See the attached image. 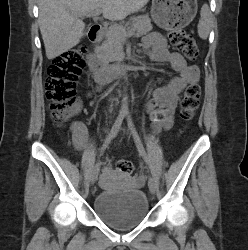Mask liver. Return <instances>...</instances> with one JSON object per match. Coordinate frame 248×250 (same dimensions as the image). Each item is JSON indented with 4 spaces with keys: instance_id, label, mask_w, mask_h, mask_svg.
I'll return each instance as SVG.
<instances>
[{
    "instance_id": "liver-1",
    "label": "liver",
    "mask_w": 248,
    "mask_h": 250,
    "mask_svg": "<svg viewBox=\"0 0 248 250\" xmlns=\"http://www.w3.org/2000/svg\"><path fill=\"white\" fill-rule=\"evenodd\" d=\"M149 0H39V27L49 60L76 46L85 29L83 14L102 10L110 20H122Z\"/></svg>"
}]
</instances>
